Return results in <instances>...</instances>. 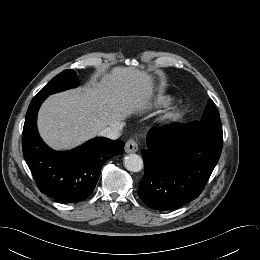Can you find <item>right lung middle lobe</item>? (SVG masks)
Returning <instances> with one entry per match:
<instances>
[{
    "instance_id": "1",
    "label": "right lung middle lobe",
    "mask_w": 260,
    "mask_h": 260,
    "mask_svg": "<svg viewBox=\"0 0 260 260\" xmlns=\"http://www.w3.org/2000/svg\"><path fill=\"white\" fill-rule=\"evenodd\" d=\"M78 85V77L74 70H64L55 76L37 95H50Z\"/></svg>"
}]
</instances>
